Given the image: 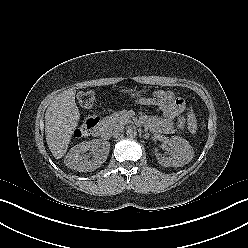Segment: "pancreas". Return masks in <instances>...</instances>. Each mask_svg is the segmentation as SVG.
<instances>
[{
    "label": "pancreas",
    "instance_id": "obj_1",
    "mask_svg": "<svg viewBox=\"0 0 248 248\" xmlns=\"http://www.w3.org/2000/svg\"><path fill=\"white\" fill-rule=\"evenodd\" d=\"M104 122L107 127L114 128L128 124L131 120L126 111H119L108 117Z\"/></svg>",
    "mask_w": 248,
    "mask_h": 248
}]
</instances>
